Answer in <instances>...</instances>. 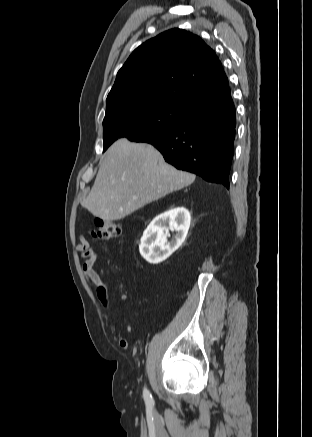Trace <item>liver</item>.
Returning <instances> with one entry per match:
<instances>
[{"label": "liver", "mask_w": 312, "mask_h": 437, "mask_svg": "<svg viewBox=\"0 0 312 437\" xmlns=\"http://www.w3.org/2000/svg\"><path fill=\"white\" fill-rule=\"evenodd\" d=\"M195 180V175L165 162L150 144L117 140L104 154L82 206L103 220H120Z\"/></svg>", "instance_id": "obj_1"}]
</instances>
